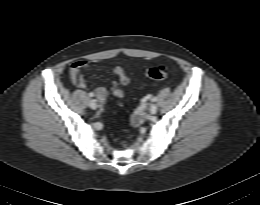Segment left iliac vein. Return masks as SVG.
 <instances>
[{"label":"left iliac vein","instance_id":"4c4485c4","mask_svg":"<svg viewBox=\"0 0 260 205\" xmlns=\"http://www.w3.org/2000/svg\"><path fill=\"white\" fill-rule=\"evenodd\" d=\"M149 112H150V114H152V115L156 114V112H157V105L154 104V103L151 104L150 107H149Z\"/></svg>","mask_w":260,"mask_h":205}]
</instances>
